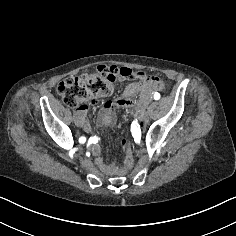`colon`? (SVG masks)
<instances>
[{
  "instance_id": "obj_1",
  "label": "colon",
  "mask_w": 236,
  "mask_h": 236,
  "mask_svg": "<svg viewBox=\"0 0 236 236\" xmlns=\"http://www.w3.org/2000/svg\"><path fill=\"white\" fill-rule=\"evenodd\" d=\"M120 76L130 79L138 77L136 71L128 68L101 65L95 70L62 80L57 86V92L68 107L74 108L86 100L109 95L113 91L115 80ZM123 145L125 167L130 169L134 163L131 147L127 141Z\"/></svg>"
}]
</instances>
